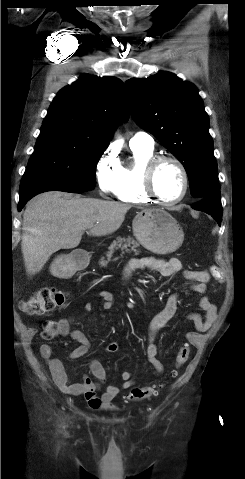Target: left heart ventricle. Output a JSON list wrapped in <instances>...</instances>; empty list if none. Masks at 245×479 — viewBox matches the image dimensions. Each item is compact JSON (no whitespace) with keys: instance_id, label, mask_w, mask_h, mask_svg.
Returning <instances> with one entry per match:
<instances>
[{"instance_id":"obj_1","label":"left heart ventricle","mask_w":245,"mask_h":479,"mask_svg":"<svg viewBox=\"0 0 245 479\" xmlns=\"http://www.w3.org/2000/svg\"><path fill=\"white\" fill-rule=\"evenodd\" d=\"M155 188L159 196L166 201L175 200L181 195L183 178L175 164L167 162L161 165L156 173Z\"/></svg>"}]
</instances>
